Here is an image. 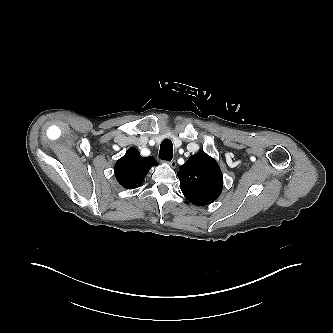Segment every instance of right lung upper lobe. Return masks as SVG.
Here are the masks:
<instances>
[{
    "label": "right lung upper lobe",
    "instance_id": "obj_1",
    "mask_svg": "<svg viewBox=\"0 0 333 333\" xmlns=\"http://www.w3.org/2000/svg\"><path fill=\"white\" fill-rule=\"evenodd\" d=\"M158 165L152 157H142L137 149L130 148L115 164V175L124 187L133 189L140 185L152 166Z\"/></svg>",
    "mask_w": 333,
    "mask_h": 333
}]
</instances>
